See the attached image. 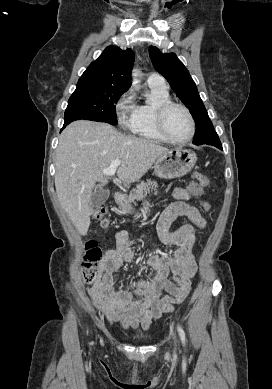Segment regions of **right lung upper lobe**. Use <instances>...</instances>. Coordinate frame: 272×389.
<instances>
[{
	"mask_svg": "<svg viewBox=\"0 0 272 389\" xmlns=\"http://www.w3.org/2000/svg\"><path fill=\"white\" fill-rule=\"evenodd\" d=\"M134 53L131 49L121 50L108 46L101 56L92 62L77 84L95 85L128 90L131 86V71Z\"/></svg>",
	"mask_w": 272,
	"mask_h": 389,
	"instance_id": "cb5924a9",
	"label": "right lung upper lobe"
}]
</instances>
